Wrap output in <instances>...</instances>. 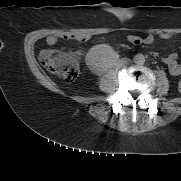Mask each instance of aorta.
I'll list each match as a JSON object with an SVG mask.
<instances>
[{"mask_svg":"<svg viewBox=\"0 0 181 181\" xmlns=\"http://www.w3.org/2000/svg\"><path fill=\"white\" fill-rule=\"evenodd\" d=\"M134 61L136 64H143L145 62V57L142 54L136 55Z\"/></svg>","mask_w":181,"mask_h":181,"instance_id":"1","label":"aorta"}]
</instances>
